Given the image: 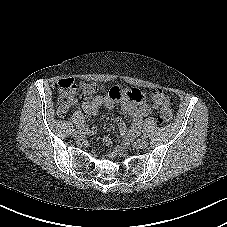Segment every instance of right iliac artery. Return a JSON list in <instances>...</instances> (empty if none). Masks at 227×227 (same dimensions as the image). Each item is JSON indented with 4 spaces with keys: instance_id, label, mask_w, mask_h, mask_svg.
<instances>
[{
    "instance_id": "82829eb1",
    "label": "right iliac artery",
    "mask_w": 227,
    "mask_h": 227,
    "mask_svg": "<svg viewBox=\"0 0 227 227\" xmlns=\"http://www.w3.org/2000/svg\"><path fill=\"white\" fill-rule=\"evenodd\" d=\"M76 128H77L78 130H83V125L77 124V125H76Z\"/></svg>"
}]
</instances>
